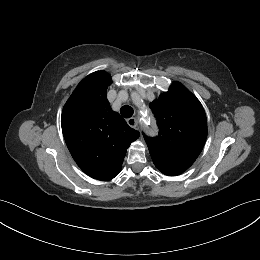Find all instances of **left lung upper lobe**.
<instances>
[{
	"label": "left lung upper lobe",
	"instance_id": "left-lung-upper-lobe-1",
	"mask_svg": "<svg viewBox=\"0 0 260 260\" xmlns=\"http://www.w3.org/2000/svg\"><path fill=\"white\" fill-rule=\"evenodd\" d=\"M159 126L157 137L144 136L156 168L176 176L187 170L201 153L207 138L205 111L183 84L173 82L168 92L150 103Z\"/></svg>",
	"mask_w": 260,
	"mask_h": 260
}]
</instances>
